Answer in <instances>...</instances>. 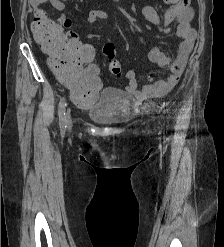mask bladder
<instances>
[{"label": "bladder", "mask_w": 224, "mask_h": 247, "mask_svg": "<svg viewBox=\"0 0 224 247\" xmlns=\"http://www.w3.org/2000/svg\"><path fill=\"white\" fill-rule=\"evenodd\" d=\"M88 117L98 124L114 125L129 118V101L114 87L101 90L98 99L87 110Z\"/></svg>", "instance_id": "bladder-1"}]
</instances>
